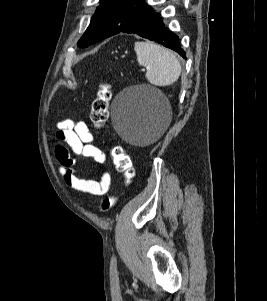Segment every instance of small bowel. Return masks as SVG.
Returning <instances> with one entry per match:
<instances>
[{
    "instance_id": "small-bowel-1",
    "label": "small bowel",
    "mask_w": 267,
    "mask_h": 301,
    "mask_svg": "<svg viewBox=\"0 0 267 301\" xmlns=\"http://www.w3.org/2000/svg\"><path fill=\"white\" fill-rule=\"evenodd\" d=\"M56 136L62 143L68 145L77 157L92 159L97 165L106 162V154L95 145V138L87 124L66 118L57 123ZM55 155L60 164L59 172L69 188L82 193L101 196L106 194L111 187V175L104 171L100 180L86 179L76 175L74 166L77 159L71 157L65 147L57 145Z\"/></svg>"
}]
</instances>
